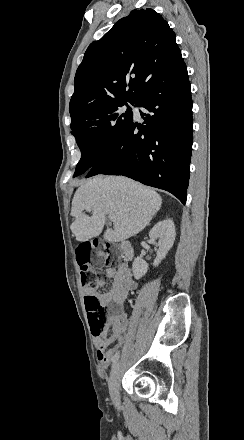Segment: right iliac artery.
Segmentation results:
<instances>
[{"instance_id":"1","label":"right iliac artery","mask_w":244,"mask_h":440,"mask_svg":"<svg viewBox=\"0 0 244 440\" xmlns=\"http://www.w3.org/2000/svg\"><path fill=\"white\" fill-rule=\"evenodd\" d=\"M119 359V353H116L113 357H112V362L113 364H115L117 362V360Z\"/></svg>"}]
</instances>
